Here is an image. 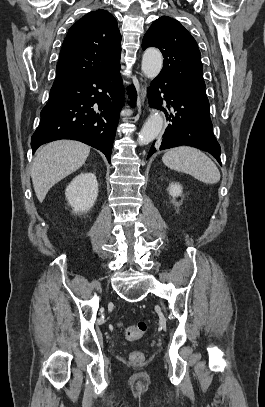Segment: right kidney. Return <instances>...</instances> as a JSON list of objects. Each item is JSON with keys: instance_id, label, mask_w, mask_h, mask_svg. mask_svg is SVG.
<instances>
[{"instance_id": "obj_1", "label": "right kidney", "mask_w": 265, "mask_h": 407, "mask_svg": "<svg viewBox=\"0 0 265 407\" xmlns=\"http://www.w3.org/2000/svg\"><path fill=\"white\" fill-rule=\"evenodd\" d=\"M66 199L75 213L89 211L98 196V183L95 174L81 173L67 186Z\"/></svg>"}]
</instances>
